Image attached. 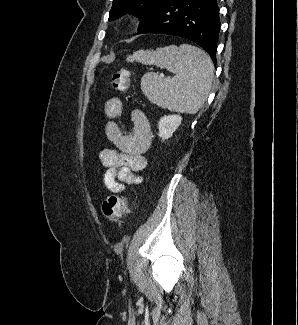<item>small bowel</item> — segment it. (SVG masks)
Segmentation results:
<instances>
[{"mask_svg":"<svg viewBox=\"0 0 298 325\" xmlns=\"http://www.w3.org/2000/svg\"><path fill=\"white\" fill-rule=\"evenodd\" d=\"M122 101L113 97L106 101L104 113L108 119L105 132L108 140L116 149L105 148L100 153V161L106 170L103 175L105 188L112 193H121L126 185H140L143 182L139 174L145 169V153L152 141L150 123L140 110L131 114L133 129L125 132L115 121L122 113Z\"/></svg>","mask_w":298,"mask_h":325,"instance_id":"1","label":"small bowel"}]
</instances>
